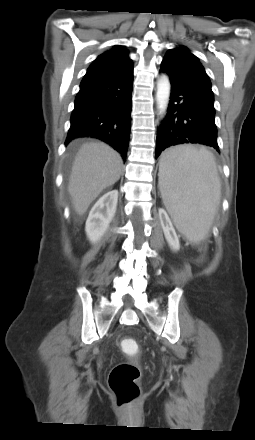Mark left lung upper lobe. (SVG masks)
I'll return each instance as SVG.
<instances>
[{
  "instance_id": "obj_1",
  "label": "left lung upper lobe",
  "mask_w": 255,
  "mask_h": 440,
  "mask_svg": "<svg viewBox=\"0 0 255 440\" xmlns=\"http://www.w3.org/2000/svg\"><path fill=\"white\" fill-rule=\"evenodd\" d=\"M161 68L174 82L189 92L214 103L211 82L199 59L185 46L170 49L163 58Z\"/></svg>"
}]
</instances>
